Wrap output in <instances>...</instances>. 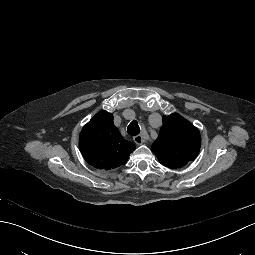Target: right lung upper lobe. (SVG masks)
Returning <instances> with one entry per match:
<instances>
[{"mask_svg":"<svg viewBox=\"0 0 255 255\" xmlns=\"http://www.w3.org/2000/svg\"><path fill=\"white\" fill-rule=\"evenodd\" d=\"M79 146L86 162L97 169L125 164L135 145L124 140L107 111L97 113L82 129Z\"/></svg>","mask_w":255,"mask_h":255,"instance_id":"obj_1","label":"right lung upper lobe"}]
</instances>
